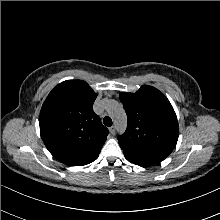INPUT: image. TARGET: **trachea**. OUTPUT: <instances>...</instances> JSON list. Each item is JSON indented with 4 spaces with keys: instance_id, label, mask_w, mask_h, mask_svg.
<instances>
[{
    "instance_id": "trachea-1",
    "label": "trachea",
    "mask_w": 220,
    "mask_h": 220,
    "mask_svg": "<svg viewBox=\"0 0 220 220\" xmlns=\"http://www.w3.org/2000/svg\"><path fill=\"white\" fill-rule=\"evenodd\" d=\"M103 123L105 126H112V119L109 116L104 117Z\"/></svg>"
}]
</instances>
